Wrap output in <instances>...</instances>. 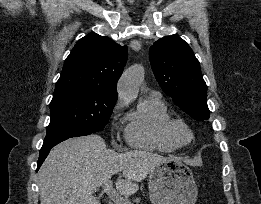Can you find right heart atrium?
I'll use <instances>...</instances> for the list:
<instances>
[{
  "mask_svg": "<svg viewBox=\"0 0 261 204\" xmlns=\"http://www.w3.org/2000/svg\"><path fill=\"white\" fill-rule=\"evenodd\" d=\"M122 107H123V103H122L121 101H117V102L115 103V105L113 106L112 113L115 114V113L118 112ZM112 132H113V134H116V128H115V127L112 128Z\"/></svg>",
  "mask_w": 261,
  "mask_h": 204,
  "instance_id": "d8ad5b80",
  "label": "right heart atrium"
}]
</instances>
